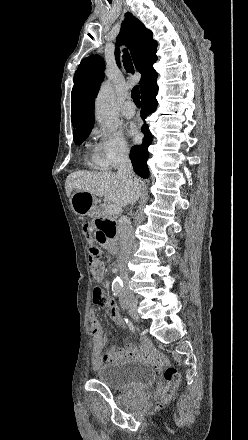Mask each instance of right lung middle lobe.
I'll return each instance as SVG.
<instances>
[{
    "mask_svg": "<svg viewBox=\"0 0 248 440\" xmlns=\"http://www.w3.org/2000/svg\"><path fill=\"white\" fill-rule=\"evenodd\" d=\"M90 132H91V130L83 131V132H79V133L73 134L74 142L77 145H80L88 137Z\"/></svg>",
    "mask_w": 248,
    "mask_h": 440,
    "instance_id": "1",
    "label": "right lung middle lobe"
}]
</instances>
